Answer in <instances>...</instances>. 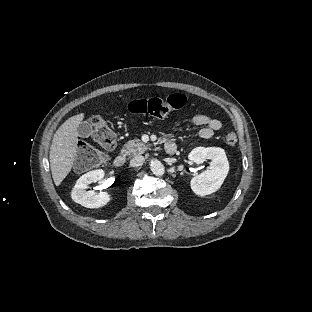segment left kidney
<instances>
[{"instance_id": "left-kidney-1", "label": "left kidney", "mask_w": 312, "mask_h": 312, "mask_svg": "<svg viewBox=\"0 0 312 312\" xmlns=\"http://www.w3.org/2000/svg\"><path fill=\"white\" fill-rule=\"evenodd\" d=\"M188 159L194 163L211 160L207 170L191 179V189L195 194L205 196L221 187L229 171V163L222 148L196 147L189 153Z\"/></svg>"}]
</instances>
